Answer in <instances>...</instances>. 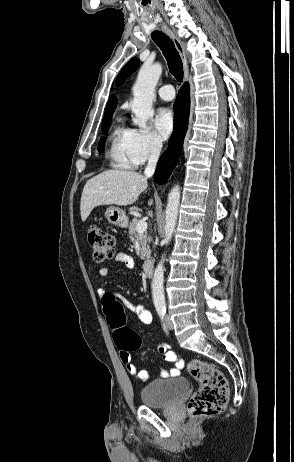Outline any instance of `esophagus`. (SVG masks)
<instances>
[{"label":"esophagus","mask_w":294,"mask_h":462,"mask_svg":"<svg viewBox=\"0 0 294 462\" xmlns=\"http://www.w3.org/2000/svg\"><path fill=\"white\" fill-rule=\"evenodd\" d=\"M162 30L166 33L167 36L170 37V39L173 41L175 48L177 49L182 63H183V69H184V79L186 80L188 77V64H187V55H186V50H185V45L183 42L167 27V26H162Z\"/></svg>","instance_id":"34e87169"}]
</instances>
